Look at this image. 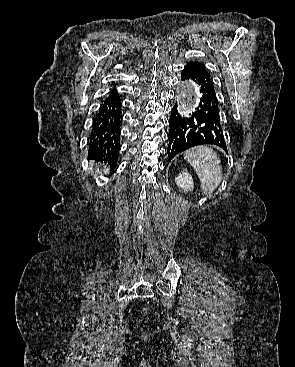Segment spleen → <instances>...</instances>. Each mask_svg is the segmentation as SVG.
<instances>
[{
    "label": "spleen",
    "mask_w": 295,
    "mask_h": 367,
    "mask_svg": "<svg viewBox=\"0 0 295 367\" xmlns=\"http://www.w3.org/2000/svg\"><path fill=\"white\" fill-rule=\"evenodd\" d=\"M185 160L195 169L201 192L211 195L222 180V166L216 152L208 146H197L184 153Z\"/></svg>",
    "instance_id": "obj_1"
}]
</instances>
